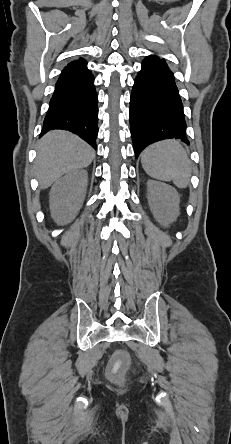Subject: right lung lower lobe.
<instances>
[{
    "label": "right lung lower lobe",
    "instance_id": "obj_1",
    "mask_svg": "<svg viewBox=\"0 0 231 444\" xmlns=\"http://www.w3.org/2000/svg\"><path fill=\"white\" fill-rule=\"evenodd\" d=\"M97 94L86 66L62 72L43 122L41 136L52 129L76 133L96 149L98 133Z\"/></svg>",
    "mask_w": 231,
    "mask_h": 444
}]
</instances>
